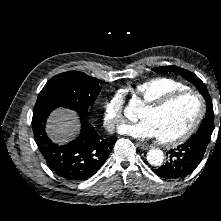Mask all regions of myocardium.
Masks as SVG:
<instances>
[{
	"label": "myocardium",
	"instance_id": "myocardium-1",
	"mask_svg": "<svg viewBox=\"0 0 221 221\" xmlns=\"http://www.w3.org/2000/svg\"><path fill=\"white\" fill-rule=\"evenodd\" d=\"M184 95H193L194 97H196L198 104H199V110H198L197 116L194 119V121L191 123V125L182 134L172 139H168V140H162V139L157 138L158 143L162 145L176 146L185 142L193 135V133L197 130V128L199 127V125L201 124L204 118V115L206 112L205 100L198 91L187 88V89L172 91L170 93L163 95L162 97L158 98L157 100L153 102L145 104V108L150 109L152 111H159L165 108L168 104L173 102L175 99Z\"/></svg>",
	"mask_w": 221,
	"mask_h": 221
}]
</instances>
